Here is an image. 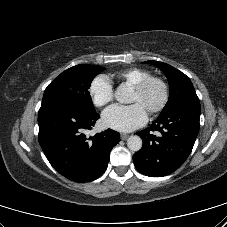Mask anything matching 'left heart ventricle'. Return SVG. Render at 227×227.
<instances>
[{
  "label": "left heart ventricle",
  "instance_id": "b2bd125f",
  "mask_svg": "<svg viewBox=\"0 0 227 227\" xmlns=\"http://www.w3.org/2000/svg\"><path fill=\"white\" fill-rule=\"evenodd\" d=\"M162 97V91L158 84H152L144 93L133 90L131 96L132 103H140L147 111L156 106Z\"/></svg>",
  "mask_w": 227,
  "mask_h": 227
}]
</instances>
